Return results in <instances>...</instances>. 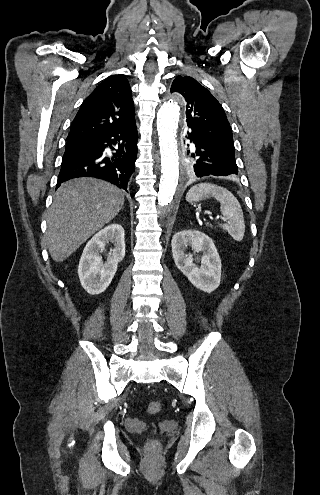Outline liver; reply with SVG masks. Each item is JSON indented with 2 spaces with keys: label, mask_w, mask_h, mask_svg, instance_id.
<instances>
[{
  "label": "liver",
  "mask_w": 320,
  "mask_h": 495,
  "mask_svg": "<svg viewBox=\"0 0 320 495\" xmlns=\"http://www.w3.org/2000/svg\"><path fill=\"white\" fill-rule=\"evenodd\" d=\"M124 201L123 192L105 181L75 178L62 183L47 217L45 241L52 259L68 258L118 215Z\"/></svg>",
  "instance_id": "liver-1"
}]
</instances>
